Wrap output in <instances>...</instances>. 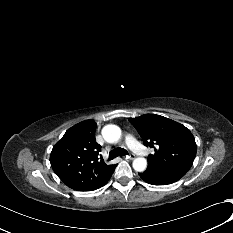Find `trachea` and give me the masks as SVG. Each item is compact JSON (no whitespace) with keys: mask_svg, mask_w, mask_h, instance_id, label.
I'll use <instances>...</instances> for the list:
<instances>
[{"mask_svg":"<svg viewBox=\"0 0 233 233\" xmlns=\"http://www.w3.org/2000/svg\"><path fill=\"white\" fill-rule=\"evenodd\" d=\"M128 155V152L124 148H115L110 151L109 153V160H113L114 158L118 156H125Z\"/></svg>","mask_w":233,"mask_h":233,"instance_id":"trachea-1","label":"trachea"}]
</instances>
